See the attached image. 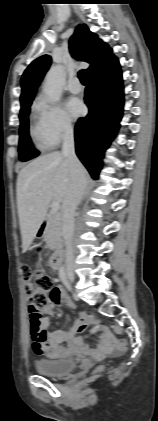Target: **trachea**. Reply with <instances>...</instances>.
I'll return each instance as SVG.
<instances>
[{"instance_id":"trachea-1","label":"trachea","mask_w":158,"mask_h":421,"mask_svg":"<svg viewBox=\"0 0 158 421\" xmlns=\"http://www.w3.org/2000/svg\"><path fill=\"white\" fill-rule=\"evenodd\" d=\"M78 77H79L82 84L87 83V72H86V70H80L79 73H78Z\"/></svg>"}]
</instances>
